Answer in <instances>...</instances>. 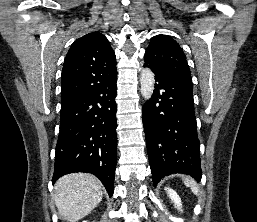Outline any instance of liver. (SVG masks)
<instances>
[{
	"instance_id": "obj_1",
	"label": "liver",
	"mask_w": 257,
	"mask_h": 222,
	"mask_svg": "<svg viewBox=\"0 0 257 222\" xmlns=\"http://www.w3.org/2000/svg\"><path fill=\"white\" fill-rule=\"evenodd\" d=\"M103 186L91 174L72 173L55 184L54 200L59 214L69 222L88 215L102 200Z\"/></svg>"
}]
</instances>
